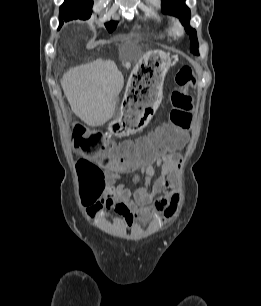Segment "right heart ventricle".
Returning <instances> with one entry per match:
<instances>
[{"label":"right heart ventricle","mask_w":261,"mask_h":306,"mask_svg":"<svg viewBox=\"0 0 261 306\" xmlns=\"http://www.w3.org/2000/svg\"><path fill=\"white\" fill-rule=\"evenodd\" d=\"M160 32H161V34H164V33H167L168 30L167 29H162V30H160Z\"/></svg>","instance_id":"1"}]
</instances>
